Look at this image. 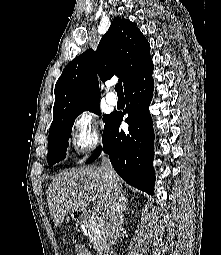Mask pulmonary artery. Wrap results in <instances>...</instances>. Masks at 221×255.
Segmentation results:
<instances>
[{
	"label": "pulmonary artery",
	"instance_id": "e3ab8cb5",
	"mask_svg": "<svg viewBox=\"0 0 221 255\" xmlns=\"http://www.w3.org/2000/svg\"><path fill=\"white\" fill-rule=\"evenodd\" d=\"M106 100L110 105H116L118 102V98L113 92H109L106 95Z\"/></svg>",
	"mask_w": 221,
	"mask_h": 255
}]
</instances>
